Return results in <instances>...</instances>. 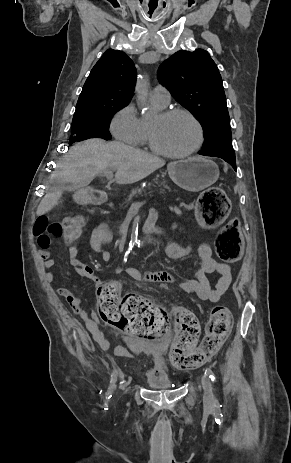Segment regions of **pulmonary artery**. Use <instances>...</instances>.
I'll list each match as a JSON object with an SVG mask.
<instances>
[{
    "label": "pulmonary artery",
    "instance_id": "1",
    "mask_svg": "<svg viewBox=\"0 0 291 463\" xmlns=\"http://www.w3.org/2000/svg\"><path fill=\"white\" fill-rule=\"evenodd\" d=\"M152 99L161 106H166L171 99L170 92L162 85H157L151 94Z\"/></svg>",
    "mask_w": 291,
    "mask_h": 463
}]
</instances>
